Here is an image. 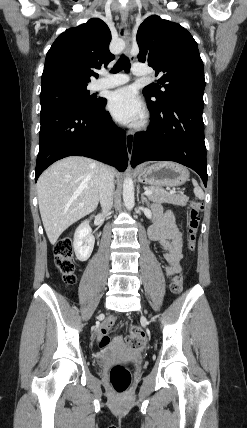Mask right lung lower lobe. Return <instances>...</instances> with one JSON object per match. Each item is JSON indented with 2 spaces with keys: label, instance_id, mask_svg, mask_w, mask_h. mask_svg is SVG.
<instances>
[{
  "label": "right lung lower lobe",
  "instance_id": "1",
  "mask_svg": "<svg viewBox=\"0 0 247 428\" xmlns=\"http://www.w3.org/2000/svg\"><path fill=\"white\" fill-rule=\"evenodd\" d=\"M92 110L58 106L41 110L39 153L35 181L52 163L78 155L124 171L128 164L125 132L105 111L107 100Z\"/></svg>",
  "mask_w": 247,
  "mask_h": 428
}]
</instances>
